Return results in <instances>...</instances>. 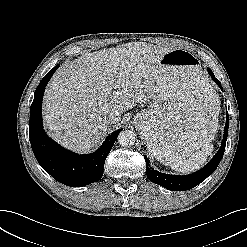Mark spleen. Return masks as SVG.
<instances>
[{
	"mask_svg": "<svg viewBox=\"0 0 247 247\" xmlns=\"http://www.w3.org/2000/svg\"><path fill=\"white\" fill-rule=\"evenodd\" d=\"M213 148L211 143L206 142L203 144L202 149L193 153L189 159L174 162L170 164V166L173 170L181 173H189L198 170L206 163L207 157L212 153Z\"/></svg>",
	"mask_w": 247,
	"mask_h": 247,
	"instance_id": "3e777b00",
	"label": "spleen"
}]
</instances>
